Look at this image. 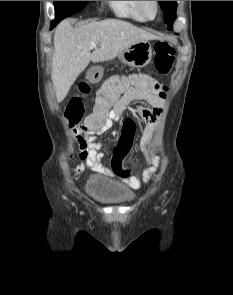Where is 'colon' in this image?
I'll return each instance as SVG.
<instances>
[{
    "label": "colon",
    "instance_id": "5ec220e1",
    "mask_svg": "<svg viewBox=\"0 0 233 295\" xmlns=\"http://www.w3.org/2000/svg\"><path fill=\"white\" fill-rule=\"evenodd\" d=\"M174 55L175 49L168 41L160 40L155 43L154 64L158 72L168 74L172 70ZM167 90L166 86L148 74H131L110 78L98 91L93 111L85 117L82 128L86 131L99 128L107 118L110 106L125 95L152 93L165 98ZM79 91L82 94H87L90 87L86 83H81ZM65 114L71 124L82 121L85 115L82 99L77 96L72 97L66 106ZM134 132L135 124L133 121L127 120L124 124L122 140L115 151L111 164L112 171L118 176L127 177L130 174L129 170L122 168L121 160L131 145Z\"/></svg>",
    "mask_w": 233,
    "mask_h": 295
}]
</instances>
